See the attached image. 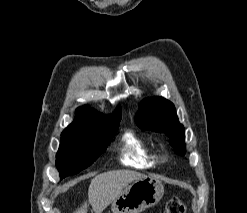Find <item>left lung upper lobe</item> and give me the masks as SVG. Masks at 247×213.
Returning a JSON list of instances; mask_svg holds the SVG:
<instances>
[{
    "mask_svg": "<svg viewBox=\"0 0 247 213\" xmlns=\"http://www.w3.org/2000/svg\"><path fill=\"white\" fill-rule=\"evenodd\" d=\"M135 121L144 130L165 133L171 137L172 147L179 154H185L184 127L179 123L175 107L170 101L162 97L143 101Z\"/></svg>",
    "mask_w": 247,
    "mask_h": 213,
    "instance_id": "left-lung-upper-lobe-1",
    "label": "left lung upper lobe"
}]
</instances>
